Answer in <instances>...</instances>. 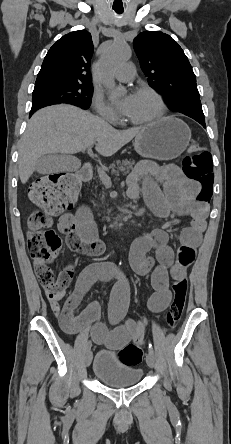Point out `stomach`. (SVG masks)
<instances>
[{"instance_id":"0dacf381","label":"stomach","mask_w":231,"mask_h":444,"mask_svg":"<svg viewBox=\"0 0 231 444\" xmlns=\"http://www.w3.org/2000/svg\"><path fill=\"white\" fill-rule=\"evenodd\" d=\"M191 131L187 124L175 117H165L150 124L134 140V149L142 157L172 160L189 145Z\"/></svg>"}]
</instances>
